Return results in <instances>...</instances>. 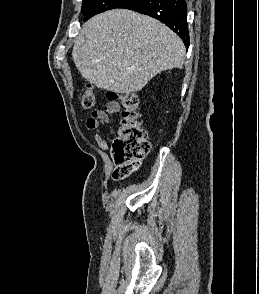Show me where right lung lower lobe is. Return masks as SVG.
Masks as SVG:
<instances>
[{
    "label": "right lung lower lobe",
    "instance_id": "1",
    "mask_svg": "<svg viewBox=\"0 0 259 294\" xmlns=\"http://www.w3.org/2000/svg\"><path fill=\"white\" fill-rule=\"evenodd\" d=\"M156 18L172 29L189 47L185 0H130L120 6Z\"/></svg>",
    "mask_w": 259,
    "mask_h": 294
}]
</instances>
